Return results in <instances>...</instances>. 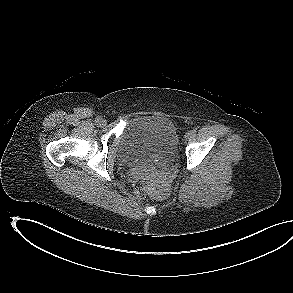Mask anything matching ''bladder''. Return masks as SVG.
Instances as JSON below:
<instances>
[{"label":"bladder","mask_w":293,"mask_h":293,"mask_svg":"<svg viewBox=\"0 0 293 293\" xmlns=\"http://www.w3.org/2000/svg\"><path fill=\"white\" fill-rule=\"evenodd\" d=\"M179 137L174 123L159 115L130 119L121 135L119 157L125 162L166 167L178 155Z\"/></svg>","instance_id":"bladder-1"}]
</instances>
